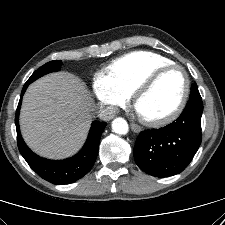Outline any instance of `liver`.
<instances>
[{"instance_id": "6515ba94", "label": "liver", "mask_w": 225, "mask_h": 225, "mask_svg": "<svg viewBox=\"0 0 225 225\" xmlns=\"http://www.w3.org/2000/svg\"><path fill=\"white\" fill-rule=\"evenodd\" d=\"M94 107L90 92L75 75L48 74L33 82L24 94L20 113L22 136L41 156L69 157L83 145Z\"/></svg>"}]
</instances>
